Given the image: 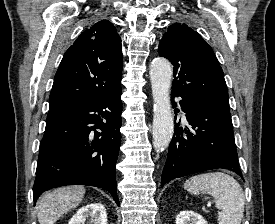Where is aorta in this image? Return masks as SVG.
I'll return each mask as SVG.
<instances>
[{
  "label": "aorta",
  "mask_w": 275,
  "mask_h": 224,
  "mask_svg": "<svg viewBox=\"0 0 275 224\" xmlns=\"http://www.w3.org/2000/svg\"><path fill=\"white\" fill-rule=\"evenodd\" d=\"M173 75L172 66L164 58H156L150 66V80L154 100L153 146L163 151L170 143L174 123L171 111L169 90Z\"/></svg>",
  "instance_id": "762f6f07"
}]
</instances>
